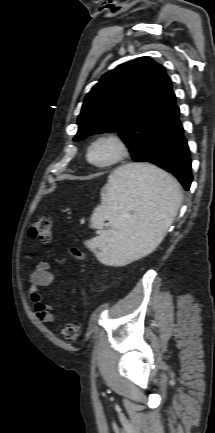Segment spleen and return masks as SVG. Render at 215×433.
<instances>
[{
	"label": "spleen",
	"instance_id": "1",
	"mask_svg": "<svg viewBox=\"0 0 215 433\" xmlns=\"http://www.w3.org/2000/svg\"><path fill=\"white\" fill-rule=\"evenodd\" d=\"M179 184L150 164L132 163L115 169L101 190V204L91 227L110 230L85 242L108 265H124L152 253L164 239L181 205ZM99 250V251H97Z\"/></svg>",
	"mask_w": 215,
	"mask_h": 433
}]
</instances>
